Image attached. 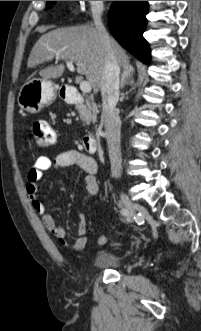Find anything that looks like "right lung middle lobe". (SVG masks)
I'll list each match as a JSON object with an SVG mask.
<instances>
[{
    "mask_svg": "<svg viewBox=\"0 0 201 331\" xmlns=\"http://www.w3.org/2000/svg\"><path fill=\"white\" fill-rule=\"evenodd\" d=\"M55 2L56 1H47L46 8L47 9L51 8L55 4Z\"/></svg>",
    "mask_w": 201,
    "mask_h": 331,
    "instance_id": "1",
    "label": "right lung middle lobe"
}]
</instances>
